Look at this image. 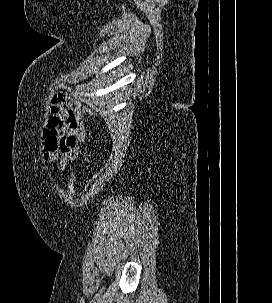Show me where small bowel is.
<instances>
[{"label": "small bowel", "mask_w": 272, "mask_h": 303, "mask_svg": "<svg viewBox=\"0 0 272 303\" xmlns=\"http://www.w3.org/2000/svg\"><path fill=\"white\" fill-rule=\"evenodd\" d=\"M86 137L79 102L57 94L52 98L42 130L43 157L58 164L61 171L79 154Z\"/></svg>", "instance_id": "1"}]
</instances>
